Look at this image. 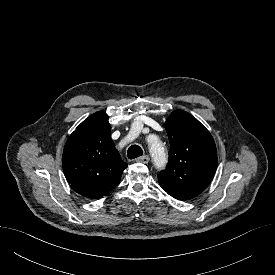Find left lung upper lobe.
Here are the masks:
<instances>
[{
	"label": "left lung upper lobe",
	"instance_id": "obj_1",
	"mask_svg": "<svg viewBox=\"0 0 275 275\" xmlns=\"http://www.w3.org/2000/svg\"><path fill=\"white\" fill-rule=\"evenodd\" d=\"M164 127L170 141L166 169L158 175L164 191L178 200L198 196L212 181L217 150L209 131L192 115L173 111Z\"/></svg>",
	"mask_w": 275,
	"mask_h": 275
}]
</instances>
